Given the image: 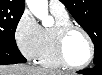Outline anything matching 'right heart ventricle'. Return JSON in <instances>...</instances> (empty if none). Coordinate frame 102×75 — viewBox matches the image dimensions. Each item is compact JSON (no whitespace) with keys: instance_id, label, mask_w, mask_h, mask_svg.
Listing matches in <instances>:
<instances>
[{"instance_id":"right-heart-ventricle-1","label":"right heart ventricle","mask_w":102,"mask_h":75,"mask_svg":"<svg viewBox=\"0 0 102 75\" xmlns=\"http://www.w3.org/2000/svg\"><path fill=\"white\" fill-rule=\"evenodd\" d=\"M55 24L52 27L41 28V49L38 56L39 63L43 66L55 68L61 66L54 53L53 36L55 29L63 24L71 22L68 13L60 14L52 12Z\"/></svg>"}]
</instances>
